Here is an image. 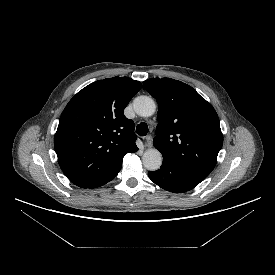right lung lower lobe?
I'll use <instances>...</instances> for the list:
<instances>
[{"label": "right lung lower lobe", "instance_id": "1", "mask_svg": "<svg viewBox=\"0 0 275 275\" xmlns=\"http://www.w3.org/2000/svg\"><path fill=\"white\" fill-rule=\"evenodd\" d=\"M119 171H120V170H119ZM119 171H118V172H119ZM118 172H116L115 174H113V175L110 176L109 178H107V179H105V180H103V181H100V182L96 183L95 185H93V186H91V187H89V188L100 187V186H102V185L108 183L109 181H111L113 178L116 177V175L118 174Z\"/></svg>", "mask_w": 275, "mask_h": 275}]
</instances>
